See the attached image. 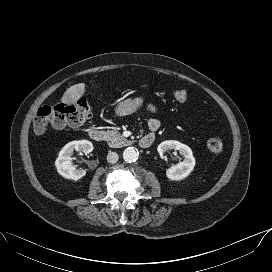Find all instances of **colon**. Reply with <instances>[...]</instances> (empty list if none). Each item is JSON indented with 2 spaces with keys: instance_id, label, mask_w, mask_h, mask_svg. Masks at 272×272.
<instances>
[{
  "instance_id": "colon-1",
  "label": "colon",
  "mask_w": 272,
  "mask_h": 272,
  "mask_svg": "<svg viewBox=\"0 0 272 272\" xmlns=\"http://www.w3.org/2000/svg\"><path fill=\"white\" fill-rule=\"evenodd\" d=\"M177 102L188 101L190 94L185 89H177L173 92ZM91 117L89 103L81 99L76 103H59L53 107L42 106L39 108L34 119V131L36 134H44L49 127H77L84 124ZM207 147L211 152L219 153L223 149L220 138L213 136L207 140Z\"/></svg>"
}]
</instances>
